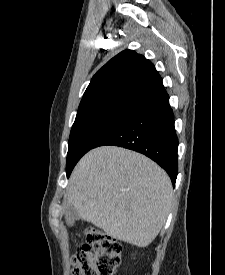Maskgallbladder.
Wrapping results in <instances>:
<instances>
[{
	"mask_svg": "<svg viewBox=\"0 0 225 275\" xmlns=\"http://www.w3.org/2000/svg\"><path fill=\"white\" fill-rule=\"evenodd\" d=\"M79 214L77 210L75 209L74 206L70 205L67 206L65 209V219L66 222L69 223L70 225L74 224L75 221L79 220Z\"/></svg>",
	"mask_w": 225,
	"mask_h": 275,
	"instance_id": "obj_1",
	"label": "gallbladder"
}]
</instances>
